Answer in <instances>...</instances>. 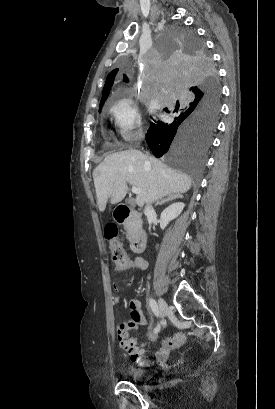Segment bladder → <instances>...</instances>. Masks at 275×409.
Returning <instances> with one entry per match:
<instances>
[{"mask_svg": "<svg viewBox=\"0 0 275 409\" xmlns=\"http://www.w3.org/2000/svg\"><path fill=\"white\" fill-rule=\"evenodd\" d=\"M127 379L132 382H150L152 379L148 368H142L139 366L129 365L124 370Z\"/></svg>", "mask_w": 275, "mask_h": 409, "instance_id": "bladder-1", "label": "bladder"}]
</instances>
